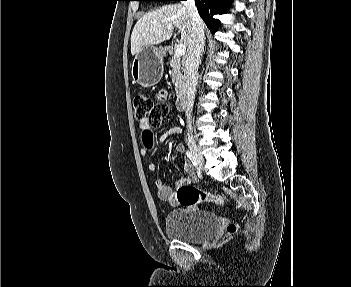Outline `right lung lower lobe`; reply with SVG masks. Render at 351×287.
Listing matches in <instances>:
<instances>
[{
    "label": "right lung lower lobe",
    "mask_w": 351,
    "mask_h": 287,
    "mask_svg": "<svg viewBox=\"0 0 351 287\" xmlns=\"http://www.w3.org/2000/svg\"><path fill=\"white\" fill-rule=\"evenodd\" d=\"M178 1V0H172ZM232 0H195L198 12L212 33H215L219 21L213 18L215 14L226 12Z\"/></svg>",
    "instance_id": "1"
}]
</instances>
